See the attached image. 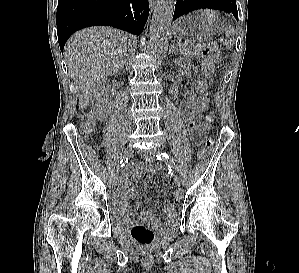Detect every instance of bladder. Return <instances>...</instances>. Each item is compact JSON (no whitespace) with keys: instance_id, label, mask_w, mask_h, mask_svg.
<instances>
[{"instance_id":"31cf9c89","label":"bladder","mask_w":299,"mask_h":273,"mask_svg":"<svg viewBox=\"0 0 299 273\" xmlns=\"http://www.w3.org/2000/svg\"><path fill=\"white\" fill-rule=\"evenodd\" d=\"M132 219H133V217L131 215L123 214V213L118 212V211H115L114 214H113V220H114L115 224L119 225V226L126 225ZM167 222L169 224H173L175 222V218L170 217V218L167 219Z\"/></svg>"}]
</instances>
